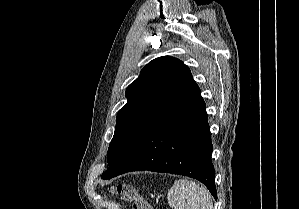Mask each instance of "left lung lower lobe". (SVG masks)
<instances>
[{
  "label": "left lung lower lobe",
  "instance_id": "0a47b994",
  "mask_svg": "<svg viewBox=\"0 0 299 209\" xmlns=\"http://www.w3.org/2000/svg\"><path fill=\"white\" fill-rule=\"evenodd\" d=\"M206 104L195 81L162 105L129 140L101 178L155 171L198 179L217 199Z\"/></svg>",
  "mask_w": 299,
  "mask_h": 209
}]
</instances>
